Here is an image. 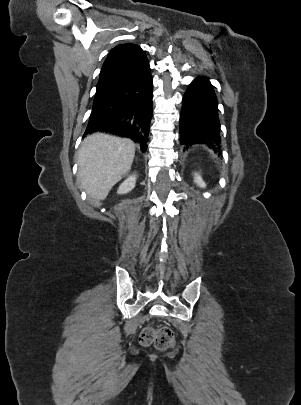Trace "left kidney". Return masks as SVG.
<instances>
[{
	"label": "left kidney",
	"instance_id": "left-kidney-1",
	"mask_svg": "<svg viewBox=\"0 0 301 405\" xmlns=\"http://www.w3.org/2000/svg\"><path fill=\"white\" fill-rule=\"evenodd\" d=\"M194 182H195L199 187H202V188H205V187H206L205 182L202 180L201 176L198 175V174H195V175H194Z\"/></svg>",
	"mask_w": 301,
	"mask_h": 405
}]
</instances>
